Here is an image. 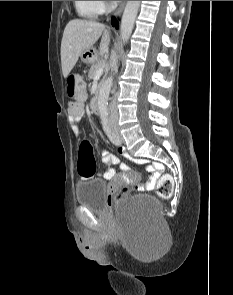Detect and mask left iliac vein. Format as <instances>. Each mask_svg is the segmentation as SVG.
<instances>
[{
    "instance_id": "1",
    "label": "left iliac vein",
    "mask_w": 233,
    "mask_h": 295,
    "mask_svg": "<svg viewBox=\"0 0 233 295\" xmlns=\"http://www.w3.org/2000/svg\"><path fill=\"white\" fill-rule=\"evenodd\" d=\"M116 136H117V138L119 139L120 142H124V138H123V136L120 134V132L118 131V129H117V131H116Z\"/></svg>"
}]
</instances>
